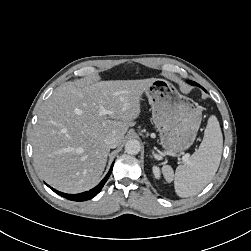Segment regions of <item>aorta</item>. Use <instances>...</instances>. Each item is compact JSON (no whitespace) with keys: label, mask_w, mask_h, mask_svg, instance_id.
Returning a JSON list of instances; mask_svg holds the SVG:
<instances>
[{"label":"aorta","mask_w":251,"mask_h":251,"mask_svg":"<svg viewBox=\"0 0 251 251\" xmlns=\"http://www.w3.org/2000/svg\"><path fill=\"white\" fill-rule=\"evenodd\" d=\"M140 149H141V145L138 140L131 139V140H128L125 144V151L128 154L136 155L140 152Z\"/></svg>","instance_id":"obj_1"}]
</instances>
